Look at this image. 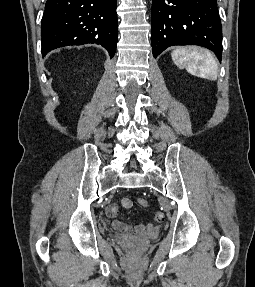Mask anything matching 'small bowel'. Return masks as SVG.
Instances as JSON below:
<instances>
[{
  "instance_id": "obj_1",
  "label": "small bowel",
  "mask_w": 255,
  "mask_h": 287,
  "mask_svg": "<svg viewBox=\"0 0 255 287\" xmlns=\"http://www.w3.org/2000/svg\"><path fill=\"white\" fill-rule=\"evenodd\" d=\"M123 208L130 209L133 206V202L129 198H124L121 201ZM106 214L113 219V227L122 232H128L131 234H137L142 232H151L155 228V224L161 223L164 220V214L160 211L154 212L153 222L141 225H126L118 218V206L115 203H111L106 207Z\"/></svg>"
}]
</instances>
